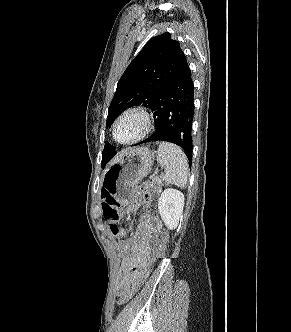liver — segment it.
<instances>
[{
	"mask_svg": "<svg viewBox=\"0 0 291 332\" xmlns=\"http://www.w3.org/2000/svg\"><path fill=\"white\" fill-rule=\"evenodd\" d=\"M126 152L127 151H123V152L119 153L117 156H115L113 158V160L110 162V165L115 164L119 160V158H121Z\"/></svg>",
	"mask_w": 291,
	"mask_h": 332,
	"instance_id": "liver-1",
	"label": "liver"
}]
</instances>
